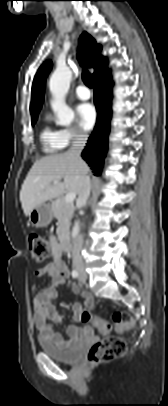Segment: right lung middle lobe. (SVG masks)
<instances>
[{"mask_svg": "<svg viewBox=\"0 0 168 406\" xmlns=\"http://www.w3.org/2000/svg\"><path fill=\"white\" fill-rule=\"evenodd\" d=\"M35 122H36V119H35V120H32V125H34V124H35Z\"/></svg>", "mask_w": 168, "mask_h": 406, "instance_id": "right-lung-middle-lobe-1", "label": "right lung middle lobe"}]
</instances>
